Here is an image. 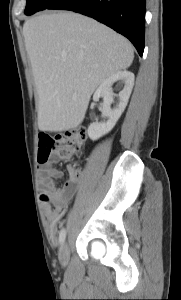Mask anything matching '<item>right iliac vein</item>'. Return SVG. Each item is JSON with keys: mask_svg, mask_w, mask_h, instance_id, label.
Wrapping results in <instances>:
<instances>
[{"mask_svg": "<svg viewBox=\"0 0 181 300\" xmlns=\"http://www.w3.org/2000/svg\"><path fill=\"white\" fill-rule=\"evenodd\" d=\"M69 256H70L69 247H68V244L65 242L62 244V246L59 250V255H58L59 261L62 266L68 265Z\"/></svg>", "mask_w": 181, "mask_h": 300, "instance_id": "right-iliac-vein-1", "label": "right iliac vein"}]
</instances>
